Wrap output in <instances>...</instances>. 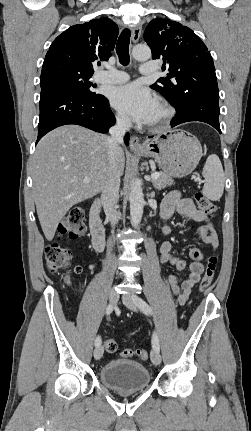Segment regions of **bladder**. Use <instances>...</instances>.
Here are the masks:
<instances>
[{
  "mask_svg": "<svg viewBox=\"0 0 251 431\" xmlns=\"http://www.w3.org/2000/svg\"><path fill=\"white\" fill-rule=\"evenodd\" d=\"M99 378L104 385L117 392L132 393L146 388L151 375L147 367L139 362L118 359L104 364Z\"/></svg>",
  "mask_w": 251,
  "mask_h": 431,
  "instance_id": "obj_1",
  "label": "bladder"
}]
</instances>
